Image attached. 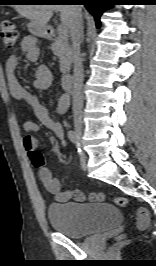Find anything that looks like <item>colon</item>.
<instances>
[{
    "label": "colon",
    "instance_id": "obj_1",
    "mask_svg": "<svg viewBox=\"0 0 156 266\" xmlns=\"http://www.w3.org/2000/svg\"><path fill=\"white\" fill-rule=\"evenodd\" d=\"M0 36L3 44L6 48H12L17 40L18 31L15 24L9 20H4L1 23L0 27ZM30 159L33 165L37 168L44 165V160L39 151H35L30 155ZM114 202L116 205L120 207H125L127 205V200L123 197H115ZM149 213L146 209L141 208L137 211L136 217V226L138 229L143 230L146 229L149 225Z\"/></svg>",
    "mask_w": 156,
    "mask_h": 266
}]
</instances>
